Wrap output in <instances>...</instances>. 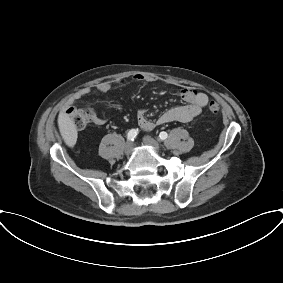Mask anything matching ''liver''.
Instances as JSON below:
<instances>
[{"instance_id": "obj_1", "label": "liver", "mask_w": 283, "mask_h": 283, "mask_svg": "<svg viewBox=\"0 0 283 283\" xmlns=\"http://www.w3.org/2000/svg\"><path fill=\"white\" fill-rule=\"evenodd\" d=\"M58 126L64 142L70 147L74 146L77 141L76 126L65 112L59 113Z\"/></svg>"}]
</instances>
